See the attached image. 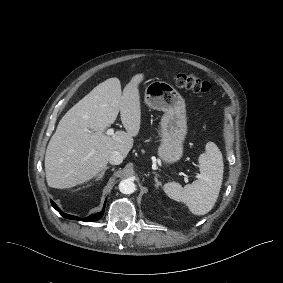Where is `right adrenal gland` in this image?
<instances>
[{
	"label": "right adrenal gland",
	"mask_w": 283,
	"mask_h": 283,
	"mask_svg": "<svg viewBox=\"0 0 283 283\" xmlns=\"http://www.w3.org/2000/svg\"><path fill=\"white\" fill-rule=\"evenodd\" d=\"M111 166H107L105 167L101 172L96 173V175H99V177L97 178V180H102L105 178V173L107 169H110Z\"/></svg>",
	"instance_id": "right-adrenal-gland-1"
}]
</instances>
